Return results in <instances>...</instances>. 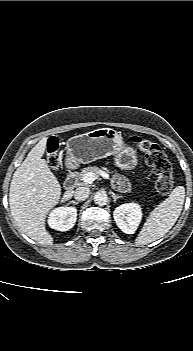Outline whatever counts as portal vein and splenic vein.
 Instances as JSON below:
<instances>
[{
  "label": "portal vein and splenic vein",
  "instance_id": "portal-vein-and-splenic-vein-1",
  "mask_svg": "<svg viewBox=\"0 0 193 351\" xmlns=\"http://www.w3.org/2000/svg\"><path fill=\"white\" fill-rule=\"evenodd\" d=\"M100 176H102L104 179H109V174H107L106 172L104 171H101L99 173ZM96 179V175L92 172H89L87 174H85L83 176V182H85L86 184H91L93 183V181Z\"/></svg>",
  "mask_w": 193,
  "mask_h": 351
}]
</instances>
